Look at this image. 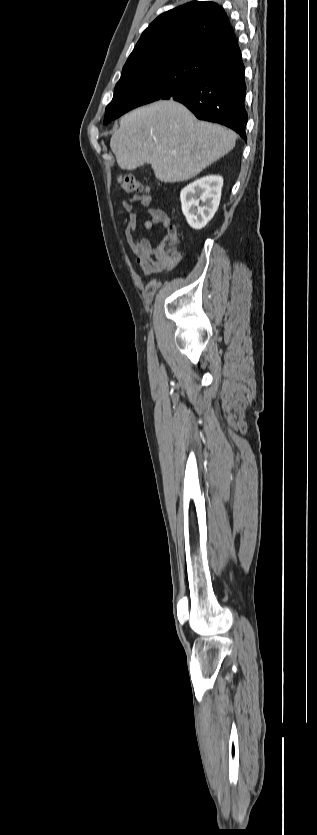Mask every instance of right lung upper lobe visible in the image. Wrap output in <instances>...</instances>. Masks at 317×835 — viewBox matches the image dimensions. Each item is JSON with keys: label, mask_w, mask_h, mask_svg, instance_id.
I'll return each instance as SVG.
<instances>
[{"label": "right lung upper lobe", "mask_w": 317, "mask_h": 835, "mask_svg": "<svg viewBox=\"0 0 317 835\" xmlns=\"http://www.w3.org/2000/svg\"><path fill=\"white\" fill-rule=\"evenodd\" d=\"M235 35L225 11L213 2H191L157 17L142 33L121 76L214 49Z\"/></svg>", "instance_id": "right-lung-upper-lobe-1"}]
</instances>
